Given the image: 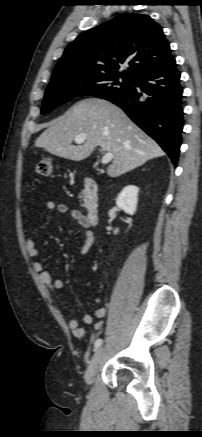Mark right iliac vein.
Instances as JSON below:
<instances>
[{"label": "right iliac vein", "mask_w": 202, "mask_h": 437, "mask_svg": "<svg viewBox=\"0 0 202 437\" xmlns=\"http://www.w3.org/2000/svg\"><path fill=\"white\" fill-rule=\"evenodd\" d=\"M102 355H103V348L100 347L95 351V353H94V355L89 363L87 371L85 373V381L87 384L92 383L95 372H96V370L101 362Z\"/></svg>", "instance_id": "63e3f726"}]
</instances>
